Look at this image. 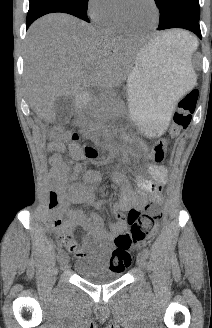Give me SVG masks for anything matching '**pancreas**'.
I'll use <instances>...</instances> for the list:
<instances>
[{
  "label": "pancreas",
  "instance_id": "obj_1",
  "mask_svg": "<svg viewBox=\"0 0 212 328\" xmlns=\"http://www.w3.org/2000/svg\"><path fill=\"white\" fill-rule=\"evenodd\" d=\"M100 106V108H98ZM123 107L114 92L108 91L100 94L98 98L92 99L84 107L81 114L76 120V125L87 135L95 137V131L98 127L99 120L104 114L116 113L119 108Z\"/></svg>",
  "mask_w": 212,
  "mask_h": 328
}]
</instances>
